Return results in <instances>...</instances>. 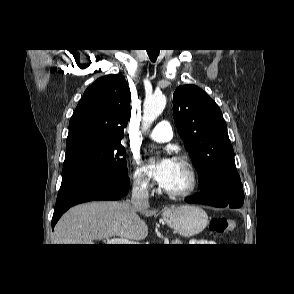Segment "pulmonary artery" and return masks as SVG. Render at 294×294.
I'll return each mask as SVG.
<instances>
[{
	"mask_svg": "<svg viewBox=\"0 0 294 294\" xmlns=\"http://www.w3.org/2000/svg\"><path fill=\"white\" fill-rule=\"evenodd\" d=\"M172 136L171 126L167 121L159 122L149 135L156 142H168L172 139Z\"/></svg>",
	"mask_w": 294,
	"mask_h": 294,
	"instance_id": "pulmonary-artery-1",
	"label": "pulmonary artery"
}]
</instances>
